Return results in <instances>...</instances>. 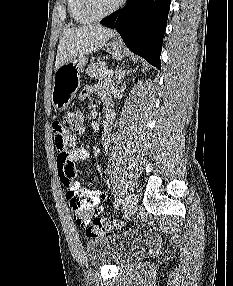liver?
Masks as SVG:
<instances>
[{
	"label": "liver",
	"instance_id": "liver-1",
	"mask_svg": "<svg viewBox=\"0 0 233 286\" xmlns=\"http://www.w3.org/2000/svg\"><path fill=\"white\" fill-rule=\"evenodd\" d=\"M115 35V31L99 24L64 29L57 50L55 71L77 57L102 48Z\"/></svg>",
	"mask_w": 233,
	"mask_h": 286
}]
</instances>
